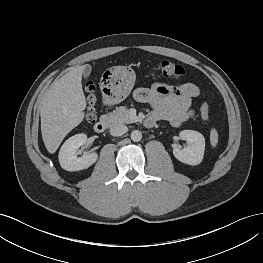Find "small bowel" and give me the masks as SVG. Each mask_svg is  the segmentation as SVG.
I'll use <instances>...</instances> for the list:
<instances>
[{
  "label": "small bowel",
  "instance_id": "1",
  "mask_svg": "<svg viewBox=\"0 0 263 263\" xmlns=\"http://www.w3.org/2000/svg\"><path fill=\"white\" fill-rule=\"evenodd\" d=\"M199 95L200 89L193 83H155L148 88H138L134 92L136 101L151 107L148 118H151L154 124L157 121H166L175 127L193 117L191 102Z\"/></svg>",
  "mask_w": 263,
  "mask_h": 263
}]
</instances>
